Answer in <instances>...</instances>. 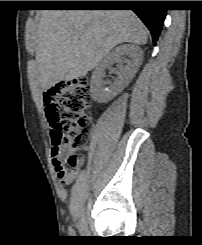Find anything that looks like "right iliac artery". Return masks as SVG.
Listing matches in <instances>:
<instances>
[{"label": "right iliac artery", "instance_id": "right-iliac-artery-1", "mask_svg": "<svg viewBox=\"0 0 202 245\" xmlns=\"http://www.w3.org/2000/svg\"><path fill=\"white\" fill-rule=\"evenodd\" d=\"M70 232H71L72 235H75V232H74V230L72 228H70Z\"/></svg>", "mask_w": 202, "mask_h": 245}]
</instances>
